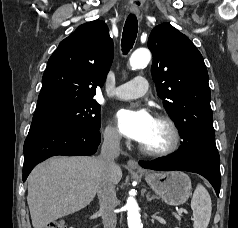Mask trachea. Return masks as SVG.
<instances>
[{"instance_id": "1", "label": "trachea", "mask_w": 238, "mask_h": 228, "mask_svg": "<svg viewBox=\"0 0 238 228\" xmlns=\"http://www.w3.org/2000/svg\"><path fill=\"white\" fill-rule=\"evenodd\" d=\"M138 32V21L135 15L130 14L126 19L122 34V51L127 54L135 43Z\"/></svg>"}]
</instances>
